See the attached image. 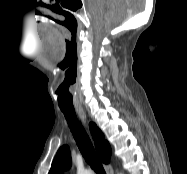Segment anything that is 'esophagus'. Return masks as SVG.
<instances>
[{"mask_svg": "<svg viewBox=\"0 0 187 174\" xmlns=\"http://www.w3.org/2000/svg\"><path fill=\"white\" fill-rule=\"evenodd\" d=\"M76 112L79 118L81 119L82 123L87 127V123H88L87 116L83 108H76ZM104 168H105L106 174H113V169L110 163L104 164Z\"/></svg>", "mask_w": 187, "mask_h": 174, "instance_id": "obj_1", "label": "esophagus"}]
</instances>
